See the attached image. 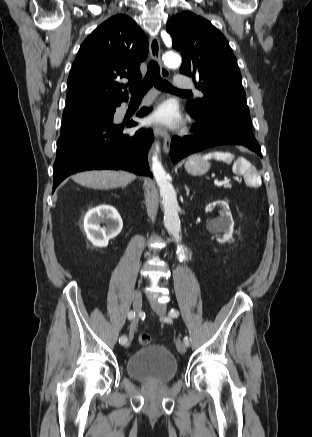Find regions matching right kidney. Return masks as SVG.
<instances>
[{"mask_svg":"<svg viewBox=\"0 0 312 437\" xmlns=\"http://www.w3.org/2000/svg\"><path fill=\"white\" fill-rule=\"evenodd\" d=\"M104 223V227L100 224ZM123 221L117 210L110 205H99L89 210L84 218V231L88 240L97 247H106L108 241L122 230Z\"/></svg>","mask_w":312,"mask_h":437,"instance_id":"right-kidney-1","label":"right kidney"}]
</instances>
